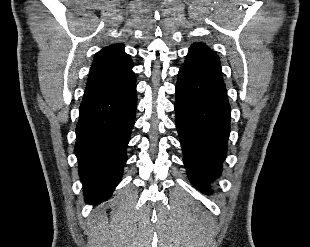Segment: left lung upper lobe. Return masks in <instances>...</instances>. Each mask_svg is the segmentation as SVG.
<instances>
[{
  "label": "left lung upper lobe",
  "mask_w": 310,
  "mask_h": 247,
  "mask_svg": "<svg viewBox=\"0 0 310 247\" xmlns=\"http://www.w3.org/2000/svg\"><path fill=\"white\" fill-rule=\"evenodd\" d=\"M181 68L221 77V65L217 54L203 43H195L191 46L185 64Z\"/></svg>",
  "instance_id": "left-lung-upper-lobe-1"
}]
</instances>
